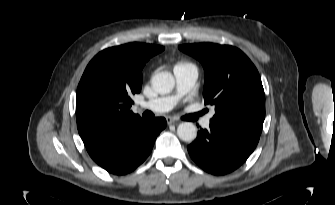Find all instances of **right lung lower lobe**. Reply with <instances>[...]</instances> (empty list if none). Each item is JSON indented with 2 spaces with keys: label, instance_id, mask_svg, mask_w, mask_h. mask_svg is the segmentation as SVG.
Listing matches in <instances>:
<instances>
[{
  "label": "right lung lower lobe",
  "instance_id": "98d812e1",
  "mask_svg": "<svg viewBox=\"0 0 335 205\" xmlns=\"http://www.w3.org/2000/svg\"><path fill=\"white\" fill-rule=\"evenodd\" d=\"M166 127L163 117L143 120L121 136L86 149L91 158L110 173L133 171L149 156L159 133Z\"/></svg>",
  "mask_w": 335,
  "mask_h": 205
}]
</instances>
